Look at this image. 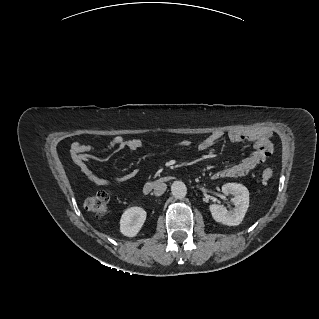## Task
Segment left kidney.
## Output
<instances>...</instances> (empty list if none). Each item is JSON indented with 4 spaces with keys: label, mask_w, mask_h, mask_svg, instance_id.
Returning <instances> with one entry per match:
<instances>
[{
    "label": "left kidney",
    "mask_w": 319,
    "mask_h": 319,
    "mask_svg": "<svg viewBox=\"0 0 319 319\" xmlns=\"http://www.w3.org/2000/svg\"><path fill=\"white\" fill-rule=\"evenodd\" d=\"M222 192L225 195L234 196L231 201L235 209L228 211L223 205L211 204L209 210L212 217L216 222L224 225L237 226L242 222L249 207V191L242 184L227 183L222 186Z\"/></svg>",
    "instance_id": "left-kidney-1"
}]
</instances>
